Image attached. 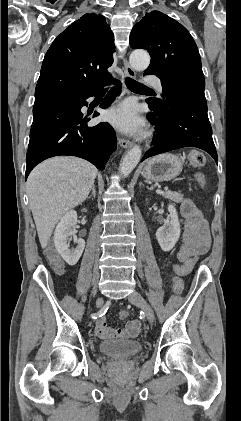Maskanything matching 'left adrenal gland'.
<instances>
[{
  "mask_svg": "<svg viewBox=\"0 0 241 421\" xmlns=\"http://www.w3.org/2000/svg\"><path fill=\"white\" fill-rule=\"evenodd\" d=\"M139 185H140V187L143 186V184L141 182L139 183Z\"/></svg>",
  "mask_w": 241,
  "mask_h": 421,
  "instance_id": "1",
  "label": "left adrenal gland"
}]
</instances>
